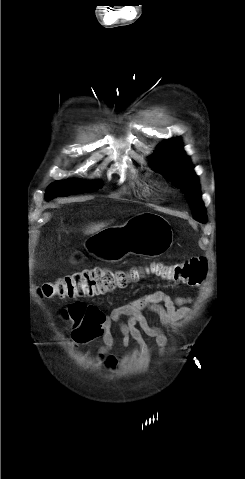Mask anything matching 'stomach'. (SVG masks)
Listing matches in <instances>:
<instances>
[{
  "label": "stomach",
  "mask_w": 245,
  "mask_h": 479,
  "mask_svg": "<svg viewBox=\"0 0 245 479\" xmlns=\"http://www.w3.org/2000/svg\"><path fill=\"white\" fill-rule=\"evenodd\" d=\"M170 223L154 212L132 217L123 226L106 228L85 241L86 250L106 262H119L129 254L158 257L172 245Z\"/></svg>",
  "instance_id": "1"
}]
</instances>
